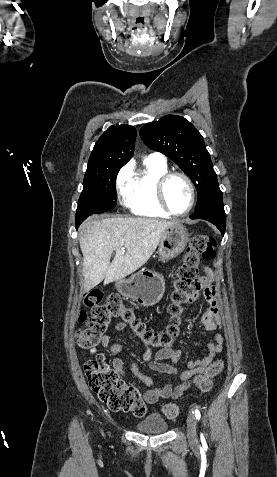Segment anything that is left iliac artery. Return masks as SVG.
<instances>
[{
	"label": "left iliac artery",
	"instance_id": "left-iliac-artery-1",
	"mask_svg": "<svg viewBox=\"0 0 277 477\" xmlns=\"http://www.w3.org/2000/svg\"><path fill=\"white\" fill-rule=\"evenodd\" d=\"M194 413H195V417L199 420L201 417L199 410L196 409Z\"/></svg>",
	"mask_w": 277,
	"mask_h": 477
}]
</instances>
